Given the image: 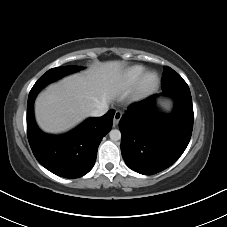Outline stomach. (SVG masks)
I'll use <instances>...</instances> for the list:
<instances>
[{
  "instance_id": "1",
  "label": "stomach",
  "mask_w": 227,
  "mask_h": 227,
  "mask_svg": "<svg viewBox=\"0 0 227 227\" xmlns=\"http://www.w3.org/2000/svg\"><path fill=\"white\" fill-rule=\"evenodd\" d=\"M162 106L166 109H169L170 103L168 101L162 102Z\"/></svg>"
}]
</instances>
